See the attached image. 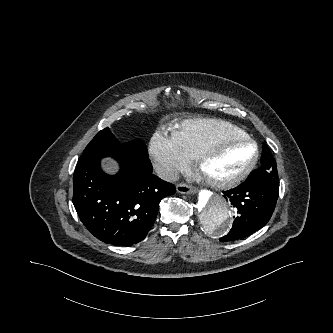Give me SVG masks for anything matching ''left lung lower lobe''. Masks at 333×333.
<instances>
[{"instance_id":"obj_1","label":"left lung lower lobe","mask_w":333,"mask_h":333,"mask_svg":"<svg viewBox=\"0 0 333 333\" xmlns=\"http://www.w3.org/2000/svg\"><path fill=\"white\" fill-rule=\"evenodd\" d=\"M264 155L271 154L264 143ZM235 207L236 216L230 232L221 242L243 239L266 225L272 216L279 195L278 180H248L223 192Z\"/></svg>"}]
</instances>
